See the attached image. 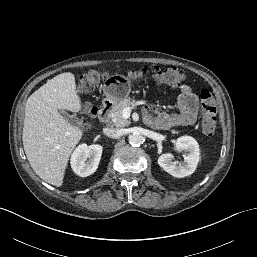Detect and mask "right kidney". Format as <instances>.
I'll list each match as a JSON object with an SVG mask.
<instances>
[{
	"label": "right kidney",
	"mask_w": 257,
	"mask_h": 257,
	"mask_svg": "<svg viewBox=\"0 0 257 257\" xmlns=\"http://www.w3.org/2000/svg\"><path fill=\"white\" fill-rule=\"evenodd\" d=\"M101 155V145L93 144L87 146L86 144H81L71 156V167L78 176H90L98 168Z\"/></svg>",
	"instance_id": "1"
}]
</instances>
